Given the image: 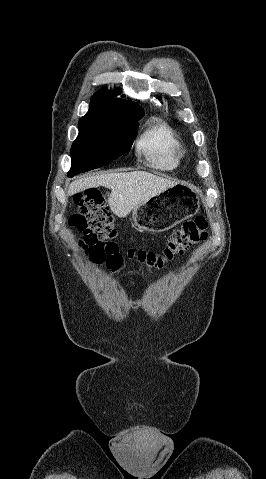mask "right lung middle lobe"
Returning <instances> with one entry per match:
<instances>
[{"mask_svg": "<svg viewBox=\"0 0 266 479\" xmlns=\"http://www.w3.org/2000/svg\"><path fill=\"white\" fill-rule=\"evenodd\" d=\"M137 121L79 120L68 177L102 167L127 152L137 135Z\"/></svg>", "mask_w": 266, "mask_h": 479, "instance_id": "dd1d6c3e", "label": "right lung middle lobe"}]
</instances>
